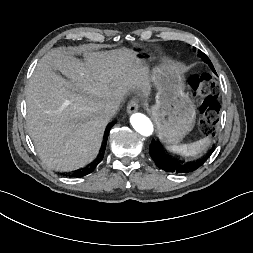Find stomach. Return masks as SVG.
I'll return each instance as SVG.
<instances>
[{
    "mask_svg": "<svg viewBox=\"0 0 253 253\" xmlns=\"http://www.w3.org/2000/svg\"><path fill=\"white\" fill-rule=\"evenodd\" d=\"M152 81L158 89L151 113L159 138L167 144H177L195 123V108L184 93V78L176 66L162 64L153 70Z\"/></svg>",
    "mask_w": 253,
    "mask_h": 253,
    "instance_id": "obj_1",
    "label": "stomach"
}]
</instances>
